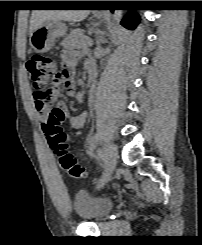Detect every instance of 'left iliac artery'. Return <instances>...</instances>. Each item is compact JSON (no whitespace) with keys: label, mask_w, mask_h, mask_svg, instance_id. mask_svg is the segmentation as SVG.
I'll list each match as a JSON object with an SVG mask.
<instances>
[{"label":"left iliac artery","mask_w":202,"mask_h":245,"mask_svg":"<svg viewBox=\"0 0 202 245\" xmlns=\"http://www.w3.org/2000/svg\"><path fill=\"white\" fill-rule=\"evenodd\" d=\"M99 142V134H95L91 140L90 146H89V150H88V154L90 156H93V150L96 148L97 144ZM102 183V180L100 181V184Z\"/></svg>","instance_id":"obj_1"}]
</instances>
